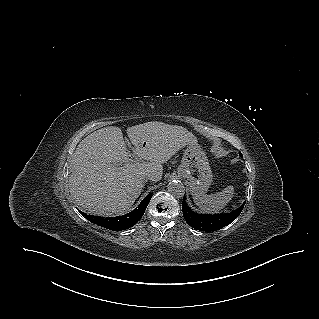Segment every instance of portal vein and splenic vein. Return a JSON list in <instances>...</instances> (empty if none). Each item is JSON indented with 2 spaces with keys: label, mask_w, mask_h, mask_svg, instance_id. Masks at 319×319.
Here are the masks:
<instances>
[{
  "label": "portal vein and splenic vein",
  "mask_w": 319,
  "mask_h": 319,
  "mask_svg": "<svg viewBox=\"0 0 319 319\" xmlns=\"http://www.w3.org/2000/svg\"><path fill=\"white\" fill-rule=\"evenodd\" d=\"M131 161H133L135 163H139L140 162V158H135L134 160H131Z\"/></svg>",
  "instance_id": "obj_1"
}]
</instances>
